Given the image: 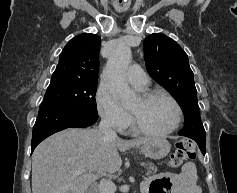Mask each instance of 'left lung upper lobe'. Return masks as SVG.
I'll return each mask as SVG.
<instances>
[{
	"label": "left lung upper lobe",
	"instance_id": "5c2ea615",
	"mask_svg": "<svg viewBox=\"0 0 237 193\" xmlns=\"http://www.w3.org/2000/svg\"><path fill=\"white\" fill-rule=\"evenodd\" d=\"M144 58L150 76L168 90L183 109L184 127L178 134L197 144H206L187 54L171 38L153 33L144 40Z\"/></svg>",
	"mask_w": 237,
	"mask_h": 193
}]
</instances>
